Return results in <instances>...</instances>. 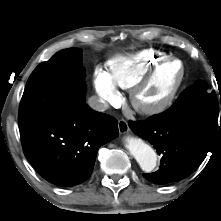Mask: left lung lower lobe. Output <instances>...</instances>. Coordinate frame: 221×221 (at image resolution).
I'll return each instance as SVG.
<instances>
[{
	"instance_id": "0a47b994",
	"label": "left lung lower lobe",
	"mask_w": 221,
	"mask_h": 221,
	"mask_svg": "<svg viewBox=\"0 0 221 221\" xmlns=\"http://www.w3.org/2000/svg\"><path fill=\"white\" fill-rule=\"evenodd\" d=\"M138 136L146 139L161 155L160 168L143 176L155 184L182 180L196 170L221 139V118L190 116L167 118L162 114L146 121L129 122ZM216 140V142H217Z\"/></svg>"
}]
</instances>
